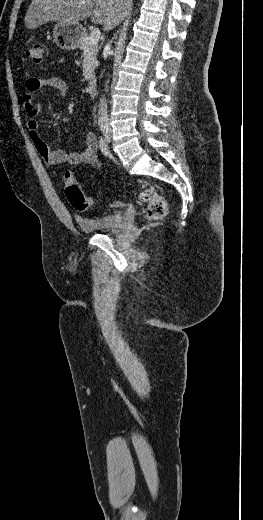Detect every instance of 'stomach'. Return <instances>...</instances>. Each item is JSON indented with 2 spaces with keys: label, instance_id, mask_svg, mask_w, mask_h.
I'll return each instance as SVG.
<instances>
[{
  "label": "stomach",
  "instance_id": "stomach-1",
  "mask_svg": "<svg viewBox=\"0 0 263 520\" xmlns=\"http://www.w3.org/2000/svg\"><path fill=\"white\" fill-rule=\"evenodd\" d=\"M83 27L79 23L59 21L55 24L53 36L57 45L64 50H75L83 37Z\"/></svg>",
  "mask_w": 263,
  "mask_h": 520
}]
</instances>
